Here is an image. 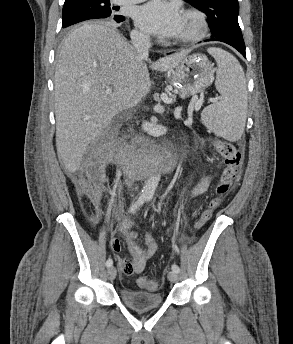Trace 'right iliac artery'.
<instances>
[{
    "instance_id": "right-iliac-artery-1",
    "label": "right iliac artery",
    "mask_w": 293,
    "mask_h": 344,
    "mask_svg": "<svg viewBox=\"0 0 293 344\" xmlns=\"http://www.w3.org/2000/svg\"><path fill=\"white\" fill-rule=\"evenodd\" d=\"M147 198L148 197L144 196V195L139 196V198L134 203H132L129 212L130 213H135L136 210L143 205V203L147 200ZM112 265H113V260L111 258H109L106 261V266L107 267H111Z\"/></svg>"
}]
</instances>
